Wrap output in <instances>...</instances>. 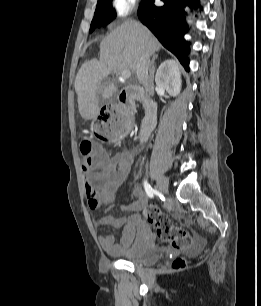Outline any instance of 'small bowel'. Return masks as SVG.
<instances>
[{
  "instance_id": "1",
  "label": "small bowel",
  "mask_w": 261,
  "mask_h": 306,
  "mask_svg": "<svg viewBox=\"0 0 261 306\" xmlns=\"http://www.w3.org/2000/svg\"><path fill=\"white\" fill-rule=\"evenodd\" d=\"M96 157L100 161L96 170L85 174V193L91 209L115 203L119 189L131 172L135 153L124 149L106 157L96 146ZM135 199L130 204L121 205V209L131 211L129 217L104 216L97 220L101 227L111 226L122 230L119 242L112 233L98 237L100 247L111 256H125L133 252L137 245L145 240L147 226L142 222L140 211L147 205L148 198L140 187L133 190ZM137 230L142 234L137 235Z\"/></svg>"
}]
</instances>
